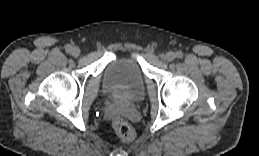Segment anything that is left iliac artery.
I'll list each match as a JSON object with an SVG mask.
<instances>
[{"label":"left iliac artery","instance_id":"left-iliac-artery-1","mask_svg":"<svg viewBox=\"0 0 259 156\" xmlns=\"http://www.w3.org/2000/svg\"><path fill=\"white\" fill-rule=\"evenodd\" d=\"M176 57H177V58H182V57H183V53H182L181 51H178V52L176 53Z\"/></svg>","mask_w":259,"mask_h":156}]
</instances>
